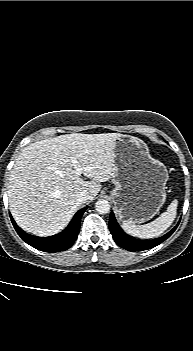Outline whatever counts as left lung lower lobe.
Masks as SVG:
<instances>
[{
  "instance_id": "0a47b994",
  "label": "left lung lower lobe",
  "mask_w": 193,
  "mask_h": 351,
  "mask_svg": "<svg viewBox=\"0 0 193 351\" xmlns=\"http://www.w3.org/2000/svg\"><path fill=\"white\" fill-rule=\"evenodd\" d=\"M177 226L178 224L169 233H167L166 235L160 238H157L154 240H139V239H135L127 236L121 230L118 223L116 222L113 212L110 213V218H109V229L115 242L117 243L118 246L128 251H143V250L154 248L155 246L159 245L164 240H166L168 237H170V235L175 231Z\"/></svg>"
}]
</instances>
